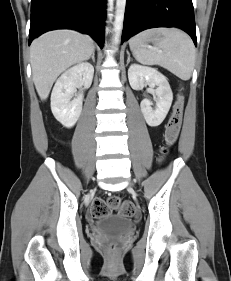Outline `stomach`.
I'll return each instance as SVG.
<instances>
[{"label":"stomach","instance_id":"1","mask_svg":"<svg viewBox=\"0 0 231 281\" xmlns=\"http://www.w3.org/2000/svg\"><path fill=\"white\" fill-rule=\"evenodd\" d=\"M152 39V37L147 38V41H150Z\"/></svg>","mask_w":231,"mask_h":281}]
</instances>
